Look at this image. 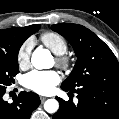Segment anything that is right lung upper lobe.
I'll use <instances>...</instances> for the list:
<instances>
[{
    "label": "right lung upper lobe",
    "instance_id": "1",
    "mask_svg": "<svg viewBox=\"0 0 119 119\" xmlns=\"http://www.w3.org/2000/svg\"><path fill=\"white\" fill-rule=\"evenodd\" d=\"M39 24L19 28H9L0 30V43L17 42L20 47L23 42L33 33L38 31Z\"/></svg>",
    "mask_w": 119,
    "mask_h": 119
}]
</instances>
